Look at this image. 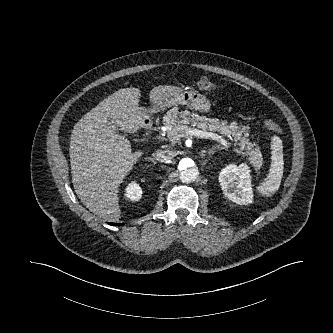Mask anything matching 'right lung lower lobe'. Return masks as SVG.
<instances>
[{
    "label": "right lung lower lobe",
    "mask_w": 333,
    "mask_h": 333,
    "mask_svg": "<svg viewBox=\"0 0 333 333\" xmlns=\"http://www.w3.org/2000/svg\"><path fill=\"white\" fill-rule=\"evenodd\" d=\"M110 225H112V226H114V225H118V226H121L122 224L121 223H119V224H115V223H109Z\"/></svg>",
    "instance_id": "right-lung-lower-lobe-1"
}]
</instances>
